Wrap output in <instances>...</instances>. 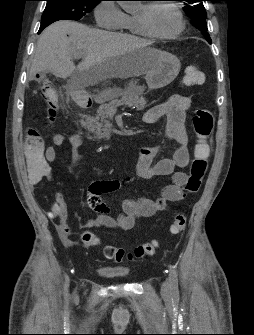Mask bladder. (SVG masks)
<instances>
[{"mask_svg": "<svg viewBox=\"0 0 254 335\" xmlns=\"http://www.w3.org/2000/svg\"><path fill=\"white\" fill-rule=\"evenodd\" d=\"M97 272L110 278H124L129 275V271L126 269L105 266L99 267Z\"/></svg>", "mask_w": 254, "mask_h": 335, "instance_id": "31cf9c89", "label": "bladder"}]
</instances>
